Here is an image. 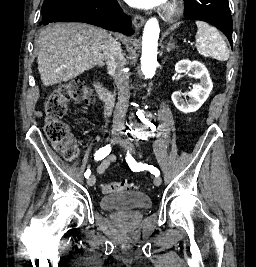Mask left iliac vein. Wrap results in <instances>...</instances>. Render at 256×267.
I'll use <instances>...</instances> for the list:
<instances>
[{
  "label": "left iliac vein",
  "instance_id": "4c4485c4",
  "mask_svg": "<svg viewBox=\"0 0 256 267\" xmlns=\"http://www.w3.org/2000/svg\"><path fill=\"white\" fill-rule=\"evenodd\" d=\"M119 145H121L124 149L128 150V151H134L133 150V145L127 140V139H119L118 141ZM162 183V180L159 176H155L154 177V184L156 186H160Z\"/></svg>",
  "mask_w": 256,
  "mask_h": 267
}]
</instances>
